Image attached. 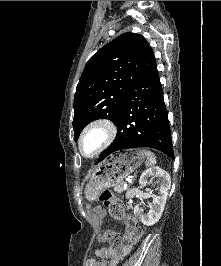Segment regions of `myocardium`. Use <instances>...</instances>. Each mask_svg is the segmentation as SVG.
Returning a JSON list of instances; mask_svg holds the SVG:
<instances>
[{"mask_svg": "<svg viewBox=\"0 0 221 266\" xmlns=\"http://www.w3.org/2000/svg\"><path fill=\"white\" fill-rule=\"evenodd\" d=\"M95 131H101L102 138L94 151L87 153L84 148V142L86 138ZM116 133L117 128L109 119L100 118L90 122L79 136L77 142L79 154L85 159L96 157L113 141Z\"/></svg>", "mask_w": 221, "mask_h": 266, "instance_id": "obj_1", "label": "myocardium"}]
</instances>
